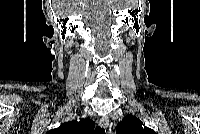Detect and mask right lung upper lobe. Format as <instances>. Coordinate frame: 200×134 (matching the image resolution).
Here are the masks:
<instances>
[{
    "mask_svg": "<svg viewBox=\"0 0 200 134\" xmlns=\"http://www.w3.org/2000/svg\"><path fill=\"white\" fill-rule=\"evenodd\" d=\"M94 125V122L90 119L73 120L50 130L48 134H91Z\"/></svg>",
    "mask_w": 200,
    "mask_h": 134,
    "instance_id": "cb5924a9",
    "label": "right lung upper lobe"
}]
</instances>
